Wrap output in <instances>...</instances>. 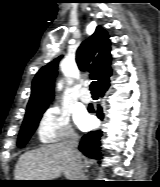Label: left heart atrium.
Instances as JSON below:
<instances>
[{
  "mask_svg": "<svg viewBox=\"0 0 160 187\" xmlns=\"http://www.w3.org/2000/svg\"><path fill=\"white\" fill-rule=\"evenodd\" d=\"M76 121H77L78 125L84 130L90 129L93 124L91 117H89L85 113L78 114L76 116Z\"/></svg>",
  "mask_w": 160,
  "mask_h": 187,
  "instance_id": "obj_1",
  "label": "left heart atrium"
}]
</instances>
